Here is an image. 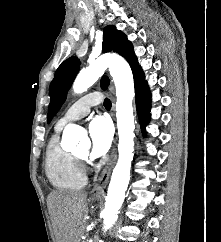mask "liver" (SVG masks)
Returning a JSON list of instances; mask_svg holds the SVG:
<instances>
[{"instance_id":"liver-1","label":"liver","mask_w":221,"mask_h":242,"mask_svg":"<svg viewBox=\"0 0 221 242\" xmlns=\"http://www.w3.org/2000/svg\"><path fill=\"white\" fill-rule=\"evenodd\" d=\"M87 192L54 191L47 198L55 242H80L88 214Z\"/></svg>"}]
</instances>
